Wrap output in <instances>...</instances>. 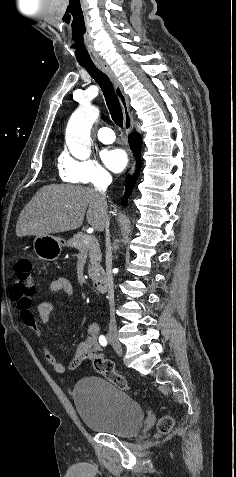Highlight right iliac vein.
I'll return each mask as SVG.
<instances>
[{"instance_id": "right-iliac-vein-1", "label": "right iliac vein", "mask_w": 236, "mask_h": 477, "mask_svg": "<svg viewBox=\"0 0 236 477\" xmlns=\"http://www.w3.org/2000/svg\"><path fill=\"white\" fill-rule=\"evenodd\" d=\"M108 340L115 349V351L119 354L122 355V346L118 340V336L116 332H111L108 336Z\"/></svg>"}]
</instances>
